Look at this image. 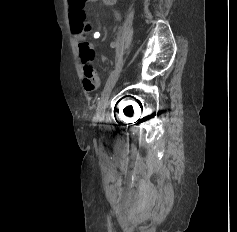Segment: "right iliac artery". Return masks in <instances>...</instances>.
<instances>
[{"instance_id": "obj_1", "label": "right iliac artery", "mask_w": 237, "mask_h": 232, "mask_svg": "<svg viewBox=\"0 0 237 232\" xmlns=\"http://www.w3.org/2000/svg\"><path fill=\"white\" fill-rule=\"evenodd\" d=\"M110 46H111V48H116L118 46V44L116 42H111Z\"/></svg>"}]
</instances>
